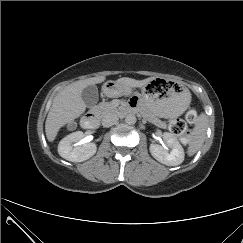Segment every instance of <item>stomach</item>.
I'll list each match as a JSON object with an SVG mask.
<instances>
[{
    "mask_svg": "<svg viewBox=\"0 0 243 243\" xmlns=\"http://www.w3.org/2000/svg\"><path fill=\"white\" fill-rule=\"evenodd\" d=\"M142 87L141 97L149 110L161 118H175L183 114L189 107L191 94L189 90L175 83L160 86ZM124 85L117 81H108L103 85V91L110 96H117L123 91Z\"/></svg>",
    "mask_w": 243,
    "mask_h": 243,
    "instance_id": "1",
    "label": "stomach"
}]
</instances>
